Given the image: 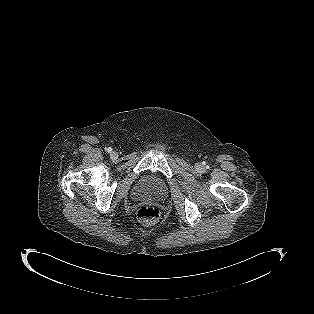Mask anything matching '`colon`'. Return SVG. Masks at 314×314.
Returning a JSON list of instances; mask_svg holds the SVG:
<instances>
[{"instance_id":"colon-1","label":"colon","mask_w":314,"mask_h":314,"mask_svg":"<svg viewBox=\"0 0 314 314\" xmlns=\"http://www.w3.org/2000/svg\"><path fill=\"white\" fill-rule=\"evenodd\" d=\"M160 215V209L151 205L142 206L136 212L137 218L145 224L155 223Z\"/></svg>"}]
</instances>
